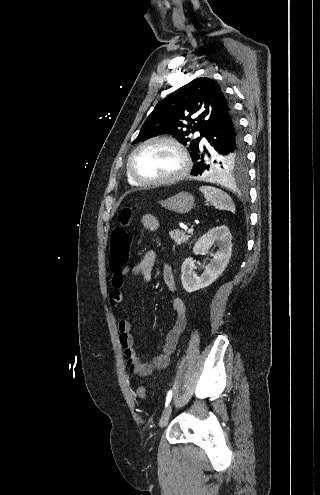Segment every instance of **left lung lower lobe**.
<instances>
[{
  "label": "left lung lower lobe",
  "instance_id": "obj_1",
  "mask_svg": "<svg viewBox=\"0 0 320 495\" xmlns=\"http://www.w3.org/2000/svg\"><path fill=\"white\" fill-rule=\"evenodd\" d=\"M238 120L231 109L227 114H223L214 123L211 130L205 136L210 146L209 149L229 146L234 149L237 145ZM207 149L201 145L200 150L192 156L195 166L192 169V175H209V166L204 161V155Z\"/></svg>",
  "mask_w": 320,
  "mask_h": 495
}]
</instances>
